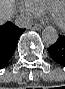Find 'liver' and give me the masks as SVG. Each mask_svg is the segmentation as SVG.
<instances>
[{"instance_id": "obj_1", "label": "liver", "mask_w": 65, "mask_h": 89, "mask_svg": "<svg viewBox=\"0 0 65 89\" xmlns=\"http://www.w3.org/2000/svg\"><path fill=\"white\" fill-rule=\"evenodd\" d=\"M16 13L14 0H0V22L3 24Z\"/></svg>"}]
</instances>
